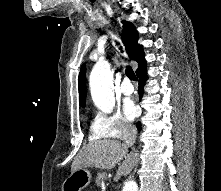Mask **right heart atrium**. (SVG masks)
<instances>
[{"label":"right heart atrium","mask_w":221,"mask_h":191,"mask_svg":"<svg viewBox=\"0 0 221 191\" xmlns=\"http://www.w3.org/2000/svg\"><path fill=\"white\" fill-rule=\"evenodd\" d=\"M90 131L95 139L123 140L133 133L134 127L119 111L111 114L98 112L93 118Z\"/></svg>","instance_id":"1"}]
</instances>
